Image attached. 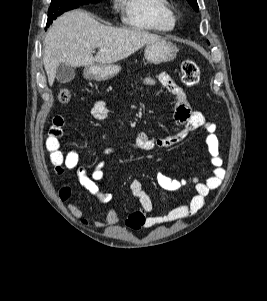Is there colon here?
Segmentation results:
<instances>
[{"label":"colon","instance_id":"5ec220e1","mask_svg":"<svg viewBox=\"0 0 267 301\" xmlns=\"http://www.w3.org/2000/svg\"><path fill=\"white\" fill-rule=\"evenodd\" d=\"M181 80L186 86H194L198 83L200 73L195 61L192 59H185L181 64ZM58 101L62 104H67L72 99L71 90L63 87L58 92Z\"/></svg>","mask_w":267,"mask_h":301}]
</instances>
